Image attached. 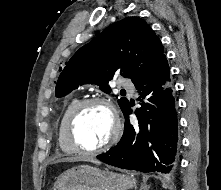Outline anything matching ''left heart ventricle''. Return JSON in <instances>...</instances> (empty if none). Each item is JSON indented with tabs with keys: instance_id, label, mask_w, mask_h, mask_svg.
I'll return each mask as SVG.
<instances>
[{
	"instance_id": "obj_1",
	"label": "left heart ventricle",
	"mask_w": 221,
	"mask_h": 190,
	"mask_svg": "<svg viewBox=\"0 0 221 190\" xmlns=\"http://www.w3.org/2000/svg\"><path fill=\"white\" fill-rule=\"evenodd\" d=\"M113 117L109 109L101 104L89 106L80 115L76 126V137L86 148H96L111 136Z\"/></svg>"
}]
</instances>
